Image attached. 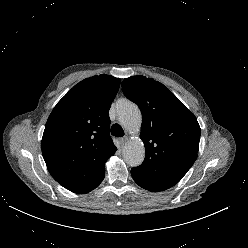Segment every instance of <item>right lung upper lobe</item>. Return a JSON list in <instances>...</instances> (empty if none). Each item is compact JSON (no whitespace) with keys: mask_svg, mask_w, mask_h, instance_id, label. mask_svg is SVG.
Here are the masks:
<instances>
[{"mask_svg":"<svg viewBox=\"0 0 248 248\" xmlns=\"http://www.w3.org/2000/svg\"><path fill=\"white\" fill-rule=\"evenodd\" d=\"M120 86L110 75L76 84L54 107L43 133L42 154L51 176L66 189L85 194L105 176L117 148L110 137L109 109Z\"/></svg>","mask_w":248,"mask_h":248,"instance_id":"1","label":"right lung upper lobe"}]
</instances>
